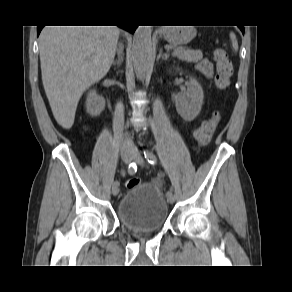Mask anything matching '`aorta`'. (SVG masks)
Masks as SVG:
<instances>
[{"label": "aorta", "mask_w": 292, "mask_h": 292, "mask_svg": "<svg viewBox=\"0 0 292 292\" xmlns=\"http://www.w3.org/2000/svg\"><path fill=\"white\" fill-rule=\"evenodd\" d=\"M151 26H138L132 44V60L134 69L139 78L145 76L151 52Z\"/></svg>", "instance_id": "1"}]
</instances>
